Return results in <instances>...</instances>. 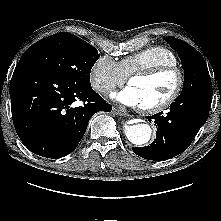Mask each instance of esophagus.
<instances>
[{
    "label": "esophagus",
    "mask_w": 221,
    "mask_h": 221,
    "mask_svg": "<svg viewBox=\"0 0 221 221\" xmlns=\"http://www.w3.org/2000/svg\"><path fill=\"white\" fill-rule=\"evenodd\" d=\"M112 113L115 115H126L125 109H121L118 107H113Z\"/></svg>",
    "instance_id": "esophagus-1"
}]
</instances>
